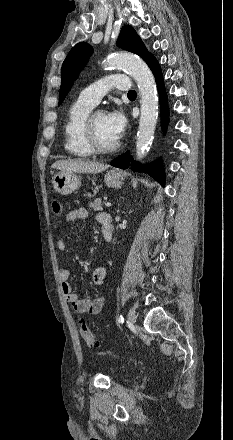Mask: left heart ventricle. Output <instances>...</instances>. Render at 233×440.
<instances>
[{"mask_svg": "<svg viewBox=\"0 0 233 440\" xmlns=\"http://www.w3.org/2000/svg\"><path fill=\"white\" fill-rule=\"evenodd\" d=\"M94 128L99 143L103 146H110L117 142L118 138L111 130L107 114H99L94 119Z\"/></svg>", "mask_w": 233, "mask_h": 440, "instance_id": "b2bd125f", "label": "left heart ventricle"}]
</instances>
